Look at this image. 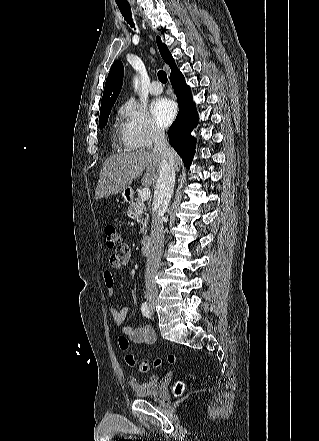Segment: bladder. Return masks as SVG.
<instances>
[{"mask_svg": "<svg viewBox=\"0 0 319 441\" xmlns=\"http://www.w3.org/2000/svg\"><path fill=\"white\" fill-rule=\"evenodd\" d=\"M129 384L134 394L139 398H152L159 393V378L156 375L150 376L144 381L130 379Z\"/></svg>", "mask_w": 319, "mask_h": 441, "instance_id": "31cf9c89", "label": "bladder"}]
</instances>
